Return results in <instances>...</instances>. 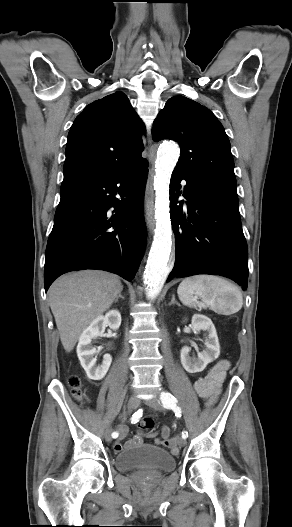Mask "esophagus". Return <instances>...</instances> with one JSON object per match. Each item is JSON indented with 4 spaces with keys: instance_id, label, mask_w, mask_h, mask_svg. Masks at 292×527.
Masks as SVG:
<instances>
[{
    "instance_id": "obj_1",
    "label": "esophagus",
    "mask_w": 292,
    "mask_h": 527,
    "mask_svg": "<svg viewBox=\"0 0 292 527\" xmlns=\"http://www.w3.org/2000/svg\"><path fill=\"white\" fill-rule=\"evenodd\" d=\"M149 144H150V145L152 144V141H151V140H149Z\"/></svg>"
}]
</instances>
